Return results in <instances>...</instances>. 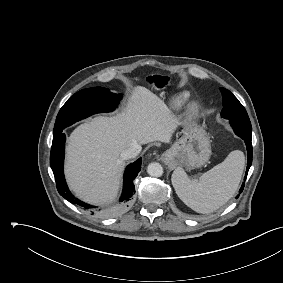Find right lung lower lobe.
I'll use <instances>...</instances> for the list:
<instances>
[{"instance_id": "1", "label": "right lung lower lobe", "mask_w": 283, "mask_h": 283, "mask_svg": "<svg viewBox=\"0 0 283 283\" xmlns=\"http://www.w3.org/2000/svg\"><path fill=\"white\" fill-rule=\"evenodd\" d=\"M65 134L60 133L53 138L51 154H50V165L55 176L57 190L66 200L73 204L80 205L86 210H89L92 214L94 213L93 206L86 204L76 199L69 191L63 173V162H64V149H65ZM141 169V158L134 163L127 166L124 173V184L123 192L120 197V202L126 203L131 200L135 193V187L133 184L134 179L138 175Z\"/></svg>"}]
</instances>
